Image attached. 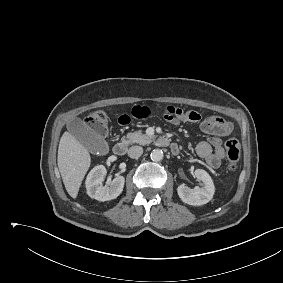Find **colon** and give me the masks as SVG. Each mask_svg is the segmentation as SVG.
Listing matches in <instances>:
<instances>
[{
  "mask_svg": "<svg viewBox=\"0 0 283 283\" xmlns=\"http://www.w3.org/2000/svg\"><path fill=\"white\" fill-rule=\"evenodd\" d=\"M86 125L94 130L98 135L105 136L108 132V117L103 111H95L86 118ZM228 168L235 171L241 155L240 144L237 139L230 138L225 142Z\"/></svg>",
  "mask_w": 283,
  "mask_h": 283,
  "instance_id": "obj_1",
  "label": "colon"
}]
</instances>
